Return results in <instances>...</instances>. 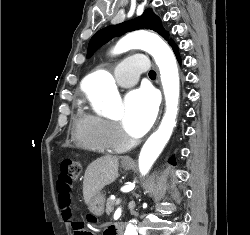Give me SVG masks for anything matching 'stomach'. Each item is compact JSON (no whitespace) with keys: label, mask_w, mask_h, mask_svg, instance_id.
<instances>
[{"label":"stomach","mask_w":250,"mask_h":235,"mask_svg":"<svg viewBox=\"0 0 250 235\" xmlns=\"http://www.w3.org/2000/svg\"><path fill=\"white\" fill-rule=\"evenodd\" d=\"M125 170L133 167L132 164H122ZM105 197L102 193H98L92 197L89 203V210L96 216H101L104 212Z\"/></svg>","instance_id":"obj_1"}]
</instances>
